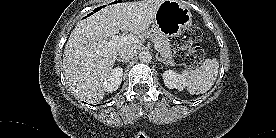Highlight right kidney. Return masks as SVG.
Wrapping results in <instances>:
<instances>
[{
	"mask_svg": "<svg viewBox=\"0 0 276 138\" xmlns=\"http://www.w3.org/2000/svg\"><path fill=\"white\" fill-rule=\"evenodd\" d=\"M123 77V69L121 67H116L109 74L104 80L103 87L104 90L108 93L116 91L121 84Z\"/></svg>",
	"mask_w": 276,
	"mask_h": 138,
	"instance_id": "1",
	"label": "right kidney"
}]
</instances>
